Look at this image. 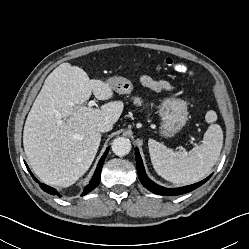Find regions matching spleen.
Here are the masks:
<instances>
[{
    "instance_id": "1",
    "label": "spleen",
    "mask_w": 249,
    "mask_h": 249,
    "mask_svg": "<svg viewBox=\"0 0 249 249\" xmlns=\"http://www.w3.org/2000/svg\"><path fill=\"white\" fill-rule=\"evenodd\" d=\"M205 119L211 124L204 133L203 142L188 153L174 151L149 139L151 162L158 175L173 183L191 184L210 172L220 156L223 131L220 125L214 123L217 120L215 111H208Z\"/></svg>"
}]
</instances>
